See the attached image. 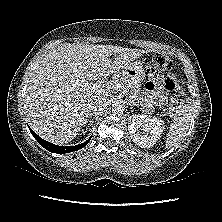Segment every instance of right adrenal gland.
<instances>
[{
	"label": "right adrenal gland",
	"instance_id": "1",
	"mask_svg": "<svg viewBox=\"0 0 222 222\" xmlns=\"http://www.w3.org/2000/svg\"><path fill=\"white\" fill-rule=\"evenodd\" d=\"M95 114L94 113H89L88 115H87V118H90V117H92V116H94ZM87 118H86V120H87ZM90 122H92V120H90Z\"/></svg>",
	"mask_w": 222,
	"mask_h": 222
}]
</instances>
